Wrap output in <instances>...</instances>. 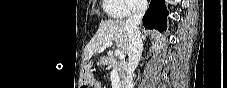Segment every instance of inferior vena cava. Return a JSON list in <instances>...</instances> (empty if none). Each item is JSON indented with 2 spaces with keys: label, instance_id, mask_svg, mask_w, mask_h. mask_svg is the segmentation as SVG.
Instances as JSON below:
<instances>
[{
  "label": "inferior vena cava",
  "instance_id": "inferior-vena-cava-1",
  "mask_svg": "<svg viewBox=\"0 0 227 88\" xmlns=\"http://www.w3.org/2000/svg\"><path fill=\"white\" fill-rule=\"evenodd\" d=\"M147 0H140L137 3V10L133 12L131 16L125 21V27L128 30V68L125 79V88H133L132 75L137 68L142 51L143 42L139 25L142 22V18L147 10Z\"/></svg>",
  "mask_w": 227,
  "mask_h": 88
}]
</instances>
